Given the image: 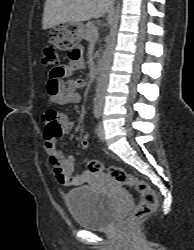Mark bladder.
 Wrapping results in <instances>:
<instances>
[{
    "mask_svg": "<svg viewBox=\"0 0 194 250\" xmlns=\"http://www.w3.org/2000/svg\"><path fill=\"white\" fill-rule=\"evenodd\" d=\"M65 203L75 223L90 230L110 227L118 214L117 199L89 185L69 190Z\"/></svg>",
    "mask_w": 194,
    "mask_h": 250,
    "instance_id": "1",
    "label": "bladder"
}]
</instances>
